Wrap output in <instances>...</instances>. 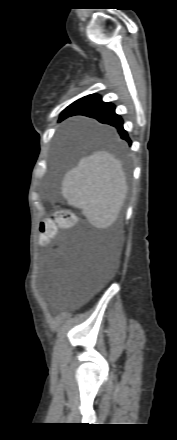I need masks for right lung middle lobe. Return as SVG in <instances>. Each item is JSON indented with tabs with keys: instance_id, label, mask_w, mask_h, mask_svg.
I'll use <instances>...</instances> for the list:
<instances>
[{
	"instance_id": "dd1d6c3e",
	"label": "right lung middle lobe",
	"mask_w": 177,
	"mask_h": 440,
	"mask_svg": "<svg viewBox=\"0 0 177 440\" xmlns=\"http://www.w3.org/2000/svg\"><path fill=\"white\" fill-rule=\"evenodd\" d=\"M95 103V100L93 98H89V97H83L77 101H75L74 103H72L71 105H69L62 113H61V120L78 112L79 110L91 105ZM102 134V132H98V131H93L90 133V136L95 138L98 137Z\"/></svg>"
}]
</instances>
